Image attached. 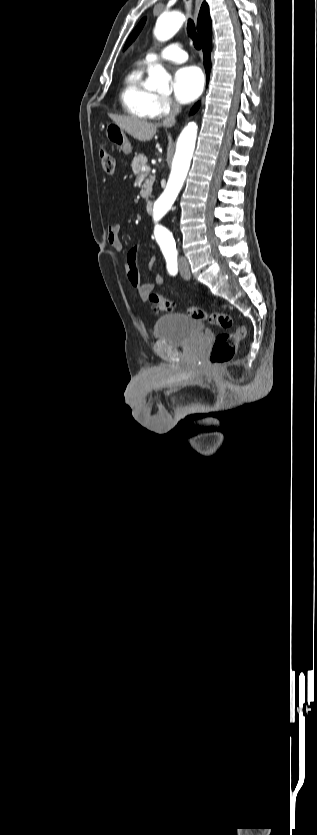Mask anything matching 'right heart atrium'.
<instances>
[{"label": "right heart atrium", "instance_id": "obj_1", "mask_svg": "<svg viewBox=\"0 0 317 835\" xmlns=\"http://www.w3.org/2000/svg\"><path fill=\"white\" fill-rule=\"evenodd\" d=\"M176 107L170 97L158 95L153 107V117L160 118L168 116L176 110Z\"/></svg>", "mask_w": 317, "mask_h": 835}]
</instances>
